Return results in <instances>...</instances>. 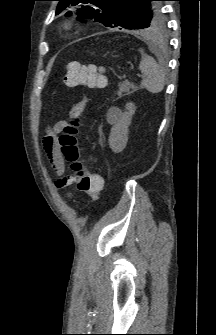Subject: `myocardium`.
I'll use <instances>...</instances> for the list:
<instances>
[{"label": "myocardium", "mask_w": 216, "mask_h": 335, "mask_svg": "<svg viewBox=\"0 0 216 335\" xmlns=\"http://www.w3.org/2000/svg\"><path fill=\"white\" fill-rule=\"evenodd\" d=\"M71 27H72V23H70V22H65V23L63 24V28H64L65 30H69V29H71Z\"/></svg>", "instance_id": "f54148a6"}]
</instances>
